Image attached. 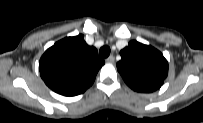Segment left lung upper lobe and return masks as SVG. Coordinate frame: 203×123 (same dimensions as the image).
<instances>
[{
    "mask_svg": "<svg viewBox=\"0 0 203 123\" xmlns=\"http://www.w3.org/2000/svg\"><path fill=\"white\" fill-rule=\"evenodd\" d=\"M116 64L125 83L134 91L150 93L161 87L168 75V62L163 54L149 45L130 41L120 51Z\"/></svg>",
    "mask_w": 203,
    "mask_h": 123,
    "instance_id": "5c2ea615",
    "label": "left lung upper lobe"
}]
</instances>
